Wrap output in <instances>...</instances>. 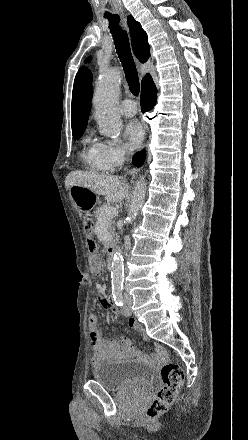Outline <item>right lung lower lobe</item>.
<instances>
[{"label":"right lung lower lobe","instance_id":"right-lung-lower-lobe-1","mask_svg":"<svg viewBox=\"0 0 248 440\" xmlns=\"http://www.w3.org/2000/svg\"><path fill=\"white\" fill-rule=\"evenodd\" d=\"M157 99V89L152 79H149L145 82V84L142 85L141 90V98H140V104H141V110L142 112H147L151 110L155 104ZM145 159V152H139L133 157V162L137 166H141V164L144 162Z\"/></svg>","mask_w":248,"mask_h":440}]
</instances>
